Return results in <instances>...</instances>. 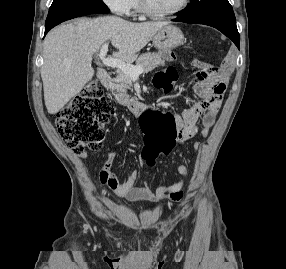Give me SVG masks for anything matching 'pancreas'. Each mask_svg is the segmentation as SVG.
<instances>
[{
    "label": "pancreas",
    "instance_id": "obj_1",
    "mask_svg": "<svg viewBox=\"0 0 286 269\" xmlns=\"http://www.w3.org/2000/svg\"><path fill=\"white\" fill-rule=\"evenodd\" d=\"M164 65L165 61L157 53L142 54L136 61V66L141 67L143 73L151 72L155 67ZM113 86L117 91L116 98L119 101H123L128 98L127 90H132L133 79L123 71H119L117 77L114 79Z\"/></svg>",
    "mask_w": 286,
    "mask_h": 269
}]
</instances>
